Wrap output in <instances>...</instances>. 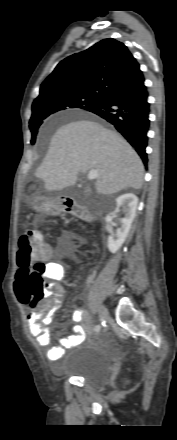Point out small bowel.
<instances>
[{
  "instance_id": "1",
  "label": "small bowel",
  "mask_w": 177,
  "mask_h": 440,
  "mask_svg": "<svg viewBox=\"0 0 177 440\" xmlns=\"http://www.w3.org/2000/svg\"><path fill=\"white\" fill-rule=\"evenodd\" d=\"M50 251V250H49ZM47 265V278L60 281L64 278V269L61 263L48 260ZM15 293L20 300V296L17 292L15 284ZM63 294V288L59 285L50 286L51 299L46 301L39 309L30 310L26 315V322L29 332L36 338L37 343L46 347L50 343V331L45 326L50 324L53 320L55 313L60 309V298ZM85 312L82 308H78L74 311L72 320L76 323L73 326V334L68 337L59 338L58 345L51 347L47 351V357L51 361H56L63 357L66 349L72 348L80 344L85 337L86 327L79 324L84 321ZM89 326V323L87 322Z\"/></svg>"
}]
</instances>
